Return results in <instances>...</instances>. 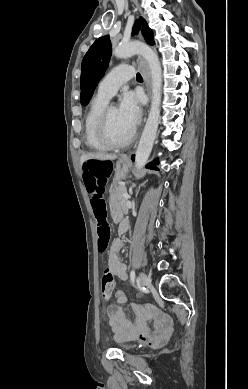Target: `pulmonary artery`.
Returning <instances> with one entry per match:
<instances>
[{"label": "pulmonary artery", "mask_w": 248, "mask_h": 389, "mask_svg": "<svg viewBox=\"0 0 248 389\" xmlns=\"http://www.w3.org/2000/svg\"><path fill=\"white\" fill-rule=\"evenodd\" d=\"M134 74V69L129 64L116 66L99 84L98 94L110 99L125 82L134 76Z\"/></svg>", "instance_id": "pulmonary-artery-1"}]
</instances>
